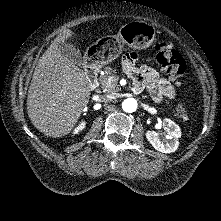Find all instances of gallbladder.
Masks as SVG:
<instances>
[{
  "mask_svg": "<svg viewBox=\"0 0 221 221\" xmlns=\"http://www.w3.org/2000/svg\"><path fill=\"white\" fill-rule=\"evenodd\" d=\"M58 49L63 57L71 60L75 65H82V55L73 45L67 43L58 44Z\"/></svg>",
  "mask_w": 221,
  "mask_h": 221,
  "instance_id": "gallbladder-1",
  "label": "gallbladder"
}]
</instances>
